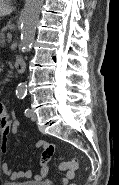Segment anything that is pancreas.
I'll use <instances>...</instances> for the list:
<instances>
[{
	"mask_svg": "<svg viewBox=\"0 0 119 185\" xmlns=\"http://www.w3.org/2000/svg\"><path fill=\"white\" fill-rule=\"evenodd\" d=\"M0 45L6 46V36L4 31L0 32Z\"/></svg>",
	"mask_w": 119,
	"mask_h": 185,
	"instance_id": "pancreas-1",
	"label": "pancreas"
}]
</instances>
